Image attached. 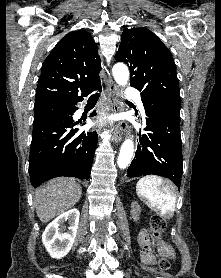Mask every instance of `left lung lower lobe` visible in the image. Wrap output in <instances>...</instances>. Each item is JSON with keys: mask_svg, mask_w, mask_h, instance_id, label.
Here are the masks:
<instances>
[{"mask_svg": "<svg viewBox=\"0 0 221 278\" xmlns=\"http://www.w3.org/2000/svg\"><path fill=\"white\" fill-rule=\"evenodd\" d=\"M142 99V98H141ZM142 99L147 134L140 135L128 177L155 174L171 179L180 188L183 171L180 110Z\"/></svg>", "mask_w": 221, "mask_h": 278, "instance_id": "obj_1", "label": "left lung lower lobe"}]
</instances>
